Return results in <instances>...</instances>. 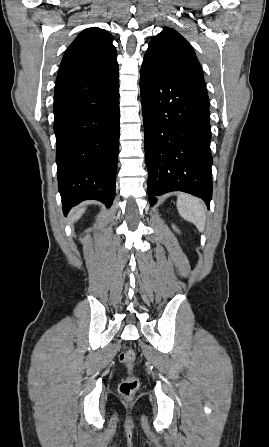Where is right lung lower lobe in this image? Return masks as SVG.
<instances>
[{"mask_svg": "<svg viewBox=\"0 0 269 447\" xmlns=\"http://www.w3.org/2000/svg\"><path fill=\"white\" fill-rule=\"evenodd\" d=\"M118 68L56 83L54 132L64 213L87 199L110 207L119 149Z\"/></svg>", "mask_w": 269, "mask_h": 447, "instance_id": "1", "label": "right lung lower lobe"}]
</instances>
